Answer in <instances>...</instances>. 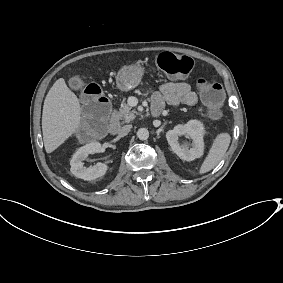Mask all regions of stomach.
Segmentation results:
<instances>
[{
    "label": "stomach",
    "mask_w": 283,
    "mask_h": 283,
    "mask_svg": "<svg viewBox=\"0 0 283 283\" xmlns=\"http://www.w3.org/2000/svg\"><path fill=\"white\" fill-rule=\"evenodd\" d=\"M144 74V67L134 63L123 66L116 76L117 87L122 91H129L139 85Z\"/></svg>",
    "instance_id": "stomach-1"
}]
</instances>
